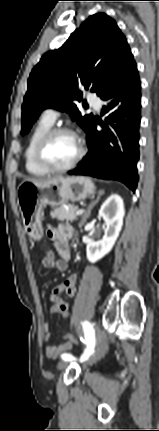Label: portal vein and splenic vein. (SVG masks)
<instances>
[{
  "mask_svg": "<svg viewBox=\"0 0 159 431\" xmlns=\"http://www.w3.org/2000/svg\"><path fill=\"white\" fill-rule=\"evenodd\" d=\"M84 213V210L83 209H80V210H77L76 211V215H81V214H83Z\"/></svg>",
  "mask_w": 159,
  "mask_h": 431,
  "instance_id": "portal-vein-and-splenic-vein-1",
  "label": "portal vein and splenic vein"
}]
</instances>
